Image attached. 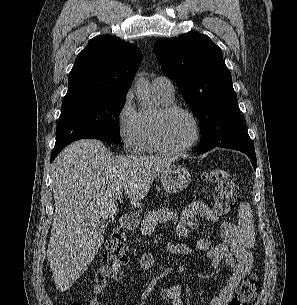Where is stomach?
I'll return each mask as SVG.
<instances>
[{
  "label": "stomach",
  "mask_w": 297,
  "mask_h": 305,
  "mask_svg": "<svg viewBox=\"0 0 297 305\" xmlns=\"http://www.w3.org/2000/svg\"><path fill=\"white\" fill-rule=\"evenodd\" d=\"M160 181L166 192L177 193L188 187L191 182V175L183 166L170 165L161 173Z\"/></svg>",
  "instance_id": "stomach-1"
}]
</instances>
